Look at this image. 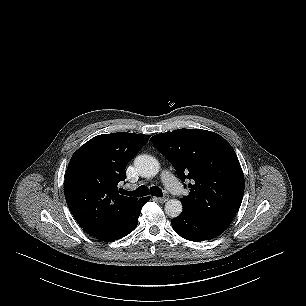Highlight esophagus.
Returning a JSON list of instances; mask_svg holds the SVG:
<instances>
[{
  "mask_svg": "<svg viewBox=\"0 0 306 306\" xmlns=\"http://www.w3.org/2000/svg\"><path fill=\"white\" fill-rule=\"evenodd\" d=\"M168 199H169V196H168V195H165V196H163V197H154V200H156L157 202H160V203H164V202H166Z\"/></svg>",
  "mask_w": 306,
  "mask_h": 306,
  "instance_id": "esophagus-1",
  "label": "esophagus"
}]
</instances>
